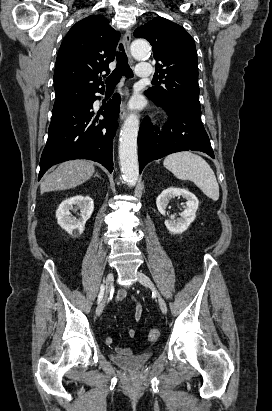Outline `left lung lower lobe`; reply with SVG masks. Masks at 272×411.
Instances as JSON below:
<instances>
[{
	"instance_id": "0a47b994",
	"label": "left lung lower lobe",
	"mask_w": 272,
	"mask_h": 411,
	"mask_svg": "<svg viewBox=\"0 0 272 411\" xmlns=\"http://www.w3.org/2000/svg\"><path fill=\"white\" fill-rule=\"evenodd\" d=\"M156 105L167 111L169 119L162 130L153 126L148 117L142 121L138 134L140 173L148 162L179 151H202L214 158L201 115L177 111L167 105Z\"/></svg>"
}]
</instances>
